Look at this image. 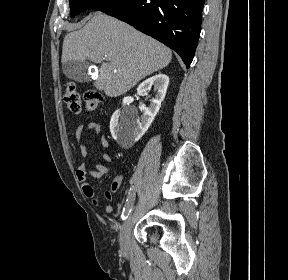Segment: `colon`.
Listing matches in <instances>:
<instances>
[{
    "label": "colon",
    "instance_id": "5ec220e1",
    "mask_svg": "<svg viewBox=\"0 0 288 280\" xmlns=\"http://www.w3.org/2000/svg\"><path fill=\"white\" fill-rule=\"evenodd\" d=\"M102 95L93 89L85 92L83 96L84 107L88 112L95 111L102 102ZM64 100L69 110L74 114H80L82 111V100L80 92L72 82L66 84ZM119 190L120 185L115 186Z\"/></svg>",
    "mask_w": 288,
    "mask_h": 280
}]
</instances>
